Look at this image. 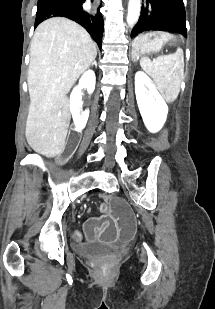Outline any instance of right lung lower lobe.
<instances>
[{
	"mask_svg": "<svg viewBox=\"0 0 215 309\" xmlns=\"http://www.w3.org/2000/svg\"><path fill=\"white\" fill-rule=\"evenodd\" d=\"M85 0H45L38 3L35 26L52 17H66L82 25L91 34L101 48L104 23L99 9L96 15L83 11L82 4Z\"/></svg>",
	"mask_w": 215,
	"mask_h": 309,
	"instance_id": "right-lung-lower-lobe-1",
	"label": "right lung lower lobe"
}]
</instances>
